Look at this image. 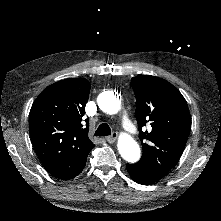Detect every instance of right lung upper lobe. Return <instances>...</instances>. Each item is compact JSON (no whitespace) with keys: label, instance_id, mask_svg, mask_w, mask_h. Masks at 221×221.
<instances>
[{"label":"right lung upper lobe","instance_id":"cb5924a9","mask_svg":"<svg viewBox=\"0 0 221 221\" xmlns=\"http://www.w3.org/2000/svg\"><path fill=\"white\" fill-rule=\"evenodd\" d=\"M87 79H66L51 84L30 110L32 144L44 168L58 179H71L84 168L94 144L88 126L81 124L89 97Z\"/></svg>","mask_w":221,"mask_h":221}]
</instances>
